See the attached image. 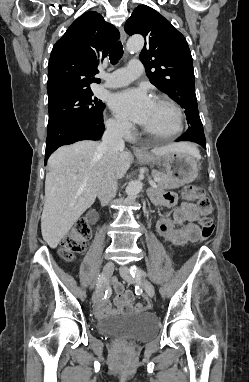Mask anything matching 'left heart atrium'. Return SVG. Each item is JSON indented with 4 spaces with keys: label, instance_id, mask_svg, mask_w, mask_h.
Segmentation results:
<instances>
[{
    "label": "left heart atrium",
    "instance_id": "1",
    "mask_svg": "<svg viewBox=\"0 0 249 382\" xmlns=\"http://www.w3.org/2000/svg\"><path fill=\"white\" fill-rule=\"evenodd\" d=\"M154 102L145 88H131L113 95L110 107L118 116L142 125Z\"/></svg>",
    "mask_w": 249,
    "mask_h": 382
}]
</instances>
